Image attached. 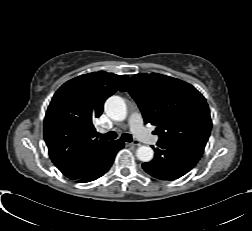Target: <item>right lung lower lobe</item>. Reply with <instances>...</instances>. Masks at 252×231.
<instances>
[{
    "label": "right lung lower lobe",
    "mask_w": 252,
    "mask_h": 231,
    "mask_svg": "<svg viewBox=\"0 0 252 231\" xmlns=\"http://www.w3.org/2000/svg\"><path fill=\"white\" fill-rule=\"evenodd\" d=\"M124 147V142L121 140L112 141L106 149L96 154L88 166V171L76 181L90 182L96 180L106 173L111 167L116 153Z\"/></svg>",
    "instance_id": "1"
}]
</instances>
